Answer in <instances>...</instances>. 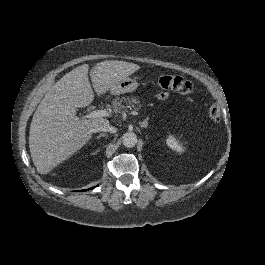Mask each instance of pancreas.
Wrapping results in <instances>:
<instances>
[{"label": "pancreas", "mask_w": 265, "mask_h": 265, "mask_svg": "<svg viewBox=\"0 0 265 265\" xmlns=\"http://www.w3.org/2000/svg\"><path fill=\"white\" fill-rule=\"evenodd\" d=\"M126 103L127 106H125L123 103ZM139 104V101L134 97H122V98H115L112 102L113 111L115 113H125L127 112V108H133L134 110H137L136 105Z\"/></svg>", "instance_id": "obj_1"}]
</instances>
